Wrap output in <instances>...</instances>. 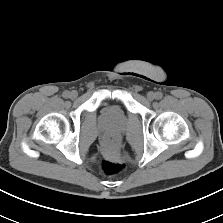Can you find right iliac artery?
<instances>
[{
	"mask_svg": "<svg viewBox=\"0 0 223 223\" xmlns=\"http://www.w3.org/2000/svg\"><path fill=\"white\" fill-rule=\"evenodd\" d=\"M63 97H64V98H68V97H70V92H69V91H65V92L63 93Z\"/></svg>",
	"mask_w": 223,
	"mask_h": 223,
	"instance_id": "obj_1",
	"label": "right iliac artery"
}]
</instances>
